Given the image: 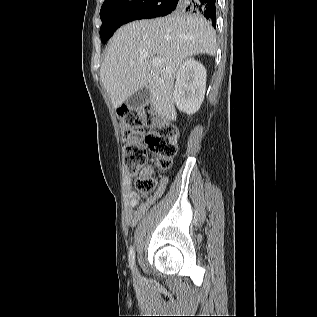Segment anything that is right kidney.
<instances>
[{"instance_id":"ca27d5eb","label":"right kidney","mask_w":317,"mask_h":317,"mask_svg":"<svg viewBox=\"0 0 317 317\" xmlns=\"http://www.w3.org/2000/svg\"><path fill=\"white\" fill-rule=\"evenodd\" d=\"M206 90V69L193 58L180 65L176 73L173 100L180 111L193 114L199 110Z\"/></svg>"}]
</instances>
